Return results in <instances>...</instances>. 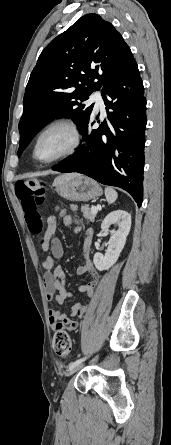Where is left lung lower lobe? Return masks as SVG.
I'll list each match as a JSON object with an SVG mask.
<instances>
[{
	"label": "left lung lower lobe",
	"instance_id": "0a47b994",
	"mask_svg": "<svg viewBox=\"0 0 171 445\" xmlns=\"http://www.w3.org/2000/svg\"><path fill=\"white\" fill-rule=\"evenodd\" d=\"M107 121L81 131L84 143L53 170L78 172L129 192L138 206L143 196L146 99L137 63L115 74L102 88Z\"/></svg>",
	"mask_w": 171,
	"mask_h": 445
}]
</instances>
